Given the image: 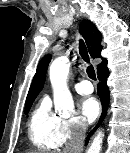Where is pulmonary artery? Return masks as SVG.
<instances>
[{"label": "pulmonary artery", "instance_id": "e3ab8cb5", "mask_svg": "<svg viewBox=\"0 0 130 153\" xmlns=\"http://www.w3.org/2000/svg\"><path fill=\"white\" fill-rule=\"evenodd\" d=\"M74 89L77 93L84 94V95L91 94L93 92V86L87 80H83L78 83H75Z\"/></svg>", "mask_w": 130, "mask_h": 153}]
</instances>
